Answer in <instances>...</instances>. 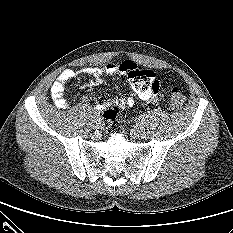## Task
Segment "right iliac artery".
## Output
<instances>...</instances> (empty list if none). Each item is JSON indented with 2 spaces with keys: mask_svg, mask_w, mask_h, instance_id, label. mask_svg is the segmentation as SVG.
<instances>
[{
  "mask_svg": "<svg viewBox=\"0 0 233 233\" xmlns=\"http://www.w3.org/2000/svg\"><path fill=\"white\" fill-rule=\"evenodd\" d=\"M99 117H100V114L98 112H94L93 114L94 120H99L100 119Z\"/></svg>",
  "mask_w": 233,
  "mask_h": 233,
  "instance_id": "right-iliac-artery-1",
  "label": "right iliac artery"
}]
</instances>
